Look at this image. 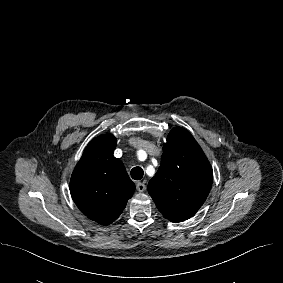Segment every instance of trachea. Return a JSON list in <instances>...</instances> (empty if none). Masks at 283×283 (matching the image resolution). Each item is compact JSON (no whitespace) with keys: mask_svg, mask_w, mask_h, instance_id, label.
Listing matches in <instances>:
<instances>
[{"mask_svg":"<svg viewBox=\"0 0 283 283\" xmlns=\"http://www.w3.org/2000/svg\"><path fill=\"white\" fill-rule=\"evenodd\" d=\"M143 169L141 167H134L132 170H131V177L134 179V180H140L142 179L143 177Z\"/></svg>","mask_w":283,"mask_h":283,"instance_id":"1","label":"trachea"}]
</instances>
